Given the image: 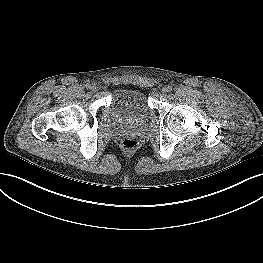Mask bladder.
<instances>
[{
    "instance_id": "31cf9c89",
    "label": "bladder",
    "mask_w": 263,
    "mask_h": 263,
    "mask_svg": "<svg viewBox=\"0 0 263 263\" xmlns=\"http://www.w3.org/2000/svg\"><path fill=\"white\" fill-rule=\"evenodd\" d=\"M109 111L111 117L121 124L140 123L149 116V106L144 93L130 88L114 91Z\"/></svg>"
}]
</instances>
